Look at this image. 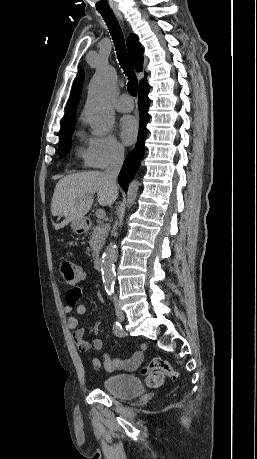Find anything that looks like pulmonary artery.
<instances>
[{"label":"pulmonary artery","mask_w":257,"mask_h":459,"mask_svg":"<svg viewBox=\"0 0 257 459\" xmlns=\"http://www.w3.org/2000/svg\"><path fill=\"white\" fill-rule=\"evenodd\" d=\"M133 107L134 103L128 94H123L119 96L115 102V108L119 112H129L133 109Z\"/></svg>","instance_id":"obj_1"}]
</instances>
